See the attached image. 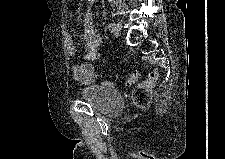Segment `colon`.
I'll list each match as a JSON object with an SVG mask.
<instances>
[{
  "instance_id": "1",
  "label": "colon",
  "mask_w": 225,
  "mask_h": 159,
  "mask_svg": "<svg viewBox=\"0 0 225 159\" xmlns=\"http://www.w3.org/2000/svg\"><path fill=\"white\" fill-rule=\"evenodd\" d=\"M138 77V72L132 71L128 74L125 83L127 85L135 84ZM157 81L158 73L156 71H151L149 72L148 77L134 88L132 93V101L137 108H146L149 106Z\"/></svg>"
}]
</instances>
